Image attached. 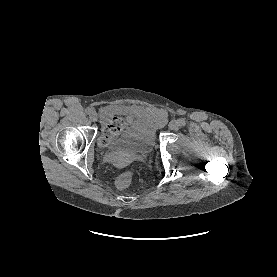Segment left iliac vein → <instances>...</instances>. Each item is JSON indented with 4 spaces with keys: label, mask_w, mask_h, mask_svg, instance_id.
<instances>
[{
    "label": "left iliac vein",
    "mask_w": 277,
    "mask_h": 277,
    "mask_svg": "<svg viewBox=\"0 0 277 277\" xmlns=\"http://www.w3.org/2000/svg\"><path fill=\"white\" fill-rule=\"evenodd\" d=\"M180 127V124H179V121L178 120H172L170 123H169V129L171 130H178Z\"/></svg>",
    "instance_id": "1"
}]
</instances>
